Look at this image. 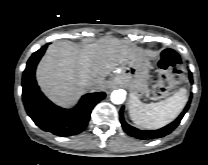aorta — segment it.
I'll return each instance as SVG.
<instances>
[{
	"mask_svg": "<svg viewBox=\"0 0 208 165\" xmlns=\"http://www.w3.org/2000/svg\"><path fill=\"white\" fill-rule=\"evenodd\" d=\"M111 101L114 104H122L125 101V92L123 90H115L111 94Z\"/></svg>",
	"mask_w": 208,
	"mask_h": 165,
	"instance_id": "762f6f07",
	"label": "aorta"
}]
</instances>
